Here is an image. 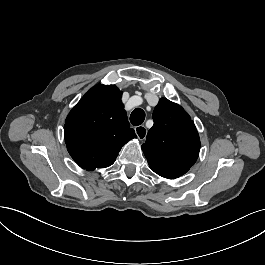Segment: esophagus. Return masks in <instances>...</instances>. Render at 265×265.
<instances>
[{
    "label": "esophagus",
    "mask_w": 265,
    "mask_h": 265,
    "mask_svg": "<svg viewBox=\"0 0 265 265\" xmlns=\"http://www.w3.org/2000/svg\"><path fill=\"white\" fill-rule=\"evenodd\" d=\"M135 134L137 135L139 140H144L147 136V128L143 125L134 127Z\"/></svg>",
    "instance_id": "34e87169"
}]
</instances>
